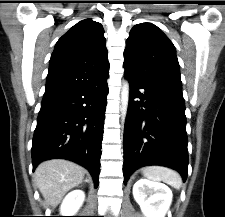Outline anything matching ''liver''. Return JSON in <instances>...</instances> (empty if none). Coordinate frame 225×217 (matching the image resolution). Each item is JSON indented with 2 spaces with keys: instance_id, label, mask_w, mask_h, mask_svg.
Masks as SVG:
<instances>
[{
  "instance_id": "liver-1",
  "label": "liver",
  "mask_w": 225,
  "mask_h": 217,
  "mask_svg": "<svg viewBox=\"0 0 225 217\" xmlns=\"http://www.w3.org/2000/svg\"><path fill=\"white\" fill-rule=\"evenodd\" d=\"M85 169L68 160L52 159L38 165L34 179L46 205L56 207L65 194L84 179Z\"/></svg>"
}]
</instances>
